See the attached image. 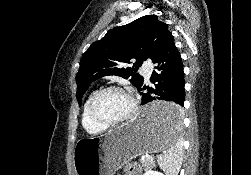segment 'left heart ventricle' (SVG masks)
<instances>
[{
    "label": "left heart ventricle",
    "mask_w": 251,
    "mask_h": 175,
    "mask_svg": "<svg viewBox=\"0 0 251 175\" xmlns=\"http://www.w3.org/2000/svg\"><path fill=\"white\" fill-rule=\"evenodd\" d=\"M131 109L129 97L118 90L105 93L98 101L97 111L109 121H117L126 116Z\"/></svg>",
    "instance_id": "b2bd125f"
}]
</instances>
